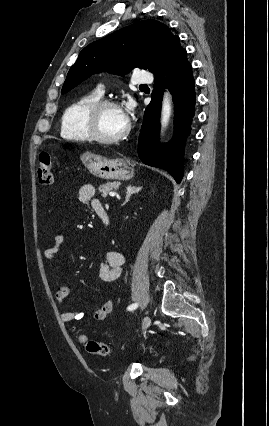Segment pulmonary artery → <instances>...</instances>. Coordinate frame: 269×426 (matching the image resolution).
<instances>
[{"instance_id": "1", "label": "pulmonary artery", "mask_w": 269, "mask_h": 426, "mask_svg": "<svg viewBox=\"0 0 269 426\" xmlns=\"http://www.w3.org/2000/svg\"><path fill=\"white\" fill-rule=\"evenodd\" d=\"M151 82H152V76L149 73L145 72V71L136 72L134 74V83L135 84H138V85H141V86H145V85H147V84H149ZM97 93L99 95H101L103 93V90L102 89H98Z\"/></svg>"}]
</instances>
